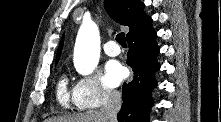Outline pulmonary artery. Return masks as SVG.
I'll return each mask as SVG.
<instances>
[{"mask_svg": "<svg viewBox=\"0 0 221 122\" xmlns=\"http://www.w3.org/2000/svg\"><path fill=\"white\" fill-rule=\"evenodd\" d=\"M120 48L118 46V44L113 41L110 40L108 41L105 45H104V52L108 55V56H117L120 54Z\"/></svg>", "mask_w": 221, "mask_h": 122, "instance_id": "1", "label": "pulmonary artery"}]
</instances>
